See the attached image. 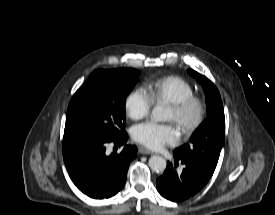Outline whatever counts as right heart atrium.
<instances>
[{"mask_svg": "<svg viewBox=\"0 0 275 215\" xmlns=\"http://www.w3.org/2000/svg\"><path fill=\"white\" fill-rule=\"evenodd\" d=\"M152 105V99L143 88L134 89L125 100L126 113L133 120H139L146 117Z\"/></svg>", "mask_w": 275, "mask_h": 215, "instance_id": "1", "label": "right heart atrium"}]
</instances>
